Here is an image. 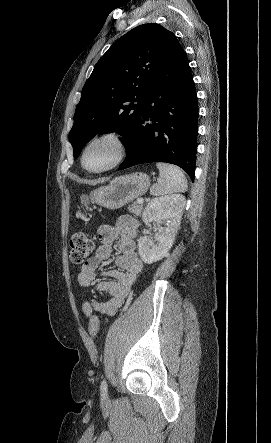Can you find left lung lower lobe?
I'll use <instances>...</instances> for the list:
<instances>
[{"label":"left lung lower lobe","mask_w":271,"mask_h":443,"mask_svg":"<svg viewBox=\"0 0 271 443\" xmlns=\"http://www.w3.org/2000/svg\"><path fill=\"white\" fill-rule=\"evenodd\" d=\"M197 121L195 85L180 45L148 86L143 115L133 130L127 157L119 170L142 163L166 162L178 165L194 180Z\"/></svg>","instance_id":"left-lung-lower-lobe-1"}]
</instances>
